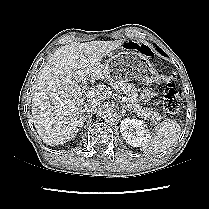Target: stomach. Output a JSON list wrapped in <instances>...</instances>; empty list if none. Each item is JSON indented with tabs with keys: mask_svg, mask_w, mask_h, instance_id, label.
Returning a JSON list of instances; mask_svg holds the SVG:
<instances>
[{
	"mask_svg": "<svg viewBox=\"0 0 209 209\" xmlns=\"http://www.w3.org/2000/svg\"><path fill=\"white\" fill-rule=\"evenodd\" d=\"M108 62H111L112 75L121 83L139 80L150 84L158 81V74L148 58L136 51L121 52Z\"/></svg>",
	"mask_w": 209,
	"mask_h": 209,
	"instance_id": "1",
	"label": "stomach"
}]
</instances>
